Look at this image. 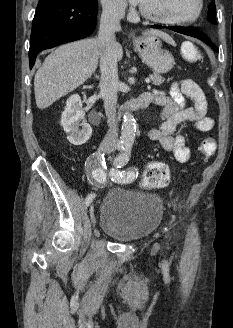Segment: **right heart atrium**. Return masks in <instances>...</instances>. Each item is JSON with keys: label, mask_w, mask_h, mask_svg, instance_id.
Returning <instances> with one entry per match:
<instances>
[{"label": "right heart atrium", "mask_w": 233, "mask_h": 328, "mask_svg": "<svg viewBox=\"0 0 233 328\" xmlns=\"http://www.w3.org/2000/svg\"><path fill=\"white\" fill-rule=\"evenodd\" d=\"M103 12L112 18H117L122 15L125 3L124 0H100Z\"/></svg>", "instance_id": "1"}]
</instances>
